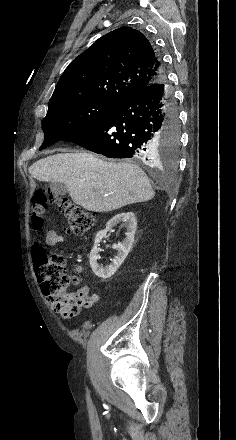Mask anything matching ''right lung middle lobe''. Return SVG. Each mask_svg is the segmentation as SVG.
<instances>
[{
    "label": "right lung middle lobe",
    "instance_id": "dd1d6c3e",
    "mask_svg": "<svg viewBox=\"0 0 236 440\" xmlns=\"http://www.w3.org/2000/svg\"><path fill=\"white\" fill-rule=\"evenodd\" d=\"M119 105L95 99L49 103L47 115L42 123L45 137L40 150L91 128ZM178 142V128L161 133L158 144L166 162L172 164L176 162Z\"/></svg>",
    "mask_w": 236,
    "mask_h": 440
}]
</instances>
